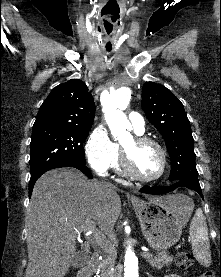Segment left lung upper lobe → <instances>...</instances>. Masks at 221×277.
<instances>
[{"label":"left lung upper lobe","mask_w":221,"mask_h":277,"mask_svg":"<svg viewBox=\"0 0 221 277\" xmlns=\"http://www.w3.org/2000/svg\"><path fill=\"white\" fill-rule=\"evenodd\" d=\"M142 109L165 140L171 159L169 181L199 183L194 140L181 101L163 85L146 82L142 89Z\"/></svg>","instance_id":"5c2ea615"}]
</instances>
